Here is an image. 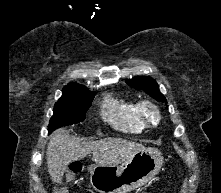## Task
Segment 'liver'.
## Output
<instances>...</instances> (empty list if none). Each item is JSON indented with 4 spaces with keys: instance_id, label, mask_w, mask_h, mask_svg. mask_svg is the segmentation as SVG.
<instances>
[{
    "instance_id": "1",
    "label": "liver",
    "mask_w": 221,
    "mask_h": 193,
    "mask_svg": "<svg viewBox=\"0 0 221 193\" xmlns=\"http://www.w3.org/2000/svg\"><path fill=\"white\" fill-rule=\"evenodd\" d=\"M144 149L142 144L122 138L85 142L71 136L66 128H59L50 136L46 152L48 172L52 181L60 184L67 166L90 153L96 164L113 166L126 162L132 155Z\"/></svg>"
}]
</instances>
